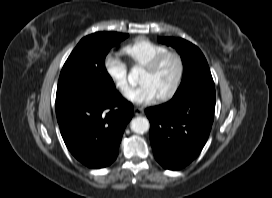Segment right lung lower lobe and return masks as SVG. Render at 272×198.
Returning a JSON list of instances; mask_svg holds the SVG:
<instances>
[{"label":"right lung lower lobe","mask_w":272,"mask_h":198,"mask_svg":"<svg viewBox=\"0 0 272 198\" xmlns=\"http://www.w3.org/2000/svg\"><path fill=\"white\" fill-rule=\"evenodd\" d=\"M63 140L73 156L89 168L110 165L127 123L132 104L116 91L106 95L81 94L56 101Z\"/></svg>","instance_id":"obj_1"}]
</instances>
